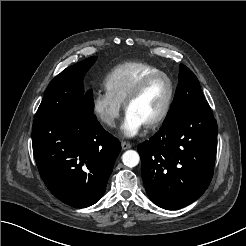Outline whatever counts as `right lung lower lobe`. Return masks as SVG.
<instances>
[{
	"instance_id": "98d812e1",
	"label": "right lung lower lobe",
	"mask_w": 246,
	"mask_h": 246,
	"mask_svg": "<svg viewBox=\"0 0 246 246\" xmlns=\"http://www.w3.org/2000/svg\"><path fill=\"white\" fill-rule=\"evenodd\" d=\"M32 143L39 173L49 191L67 205L82 208L104 194L120 153V142L92 113L65 119L34 120Z\"/></svg>"
}]
</instances>
